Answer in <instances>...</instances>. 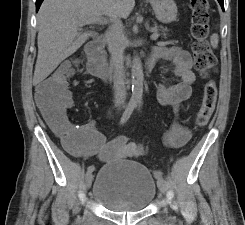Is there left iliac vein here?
<instances>
[{"label":"left iliac vein","instance_id":"1","mask_svg":"<svg viewBox=\"0 0 245 225\" xmlns=\"http://www.w3.org/2000/svg\"><path fill=\"white\" fill-rule=\"evenodd\" d=\"M166 181L163 179V178H160L158 181H157V186L159 188V190L162 192V193H165L166 192Z\"/></svg>","mask_w":245,"mask_h":225}]
</instances>
